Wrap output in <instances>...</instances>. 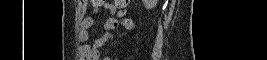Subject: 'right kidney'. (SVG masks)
I'll return each instance as SVG.
<instances>
[{"mask_svg": "<svg viewBox=\"0 0 267 60\" xmlns=\"http://www.w3.org/2000/svg\"><path fill=\"white\" fill-rule=\"evenodd\" d=\"M143 5L146 9H153L156 7L158 0H142Z\"/></svg>", "mask_w": 267, "mask_h": 60, "instance_id": "ca27d5eb", "label": "right kidney"}]
</instances>
